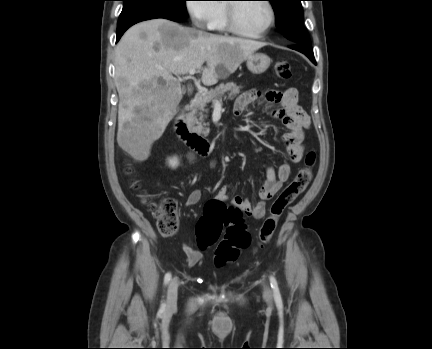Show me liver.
I'll list each match as a JSON object with an SVG mask.
<instances>
[{
    "label": "liver",
    "instance_id": "1",
    "mask_svg": "<svg viewBox=\"0 0 432 349\" xmlns=\"http://www.w3.org/2000/svg\"><path fill=\"white\" fill-rule=\"evenodd\" d=\"M265 45L184 27L166 19L132 26L115 48V85L120 99L118 145L135 160H146L182 99L180 83L173 74L200 70L206 62L201 81L211 86L220 77L217 66H222L227 75L233 73Z\"/></svg>",
    "mask_w": 432,
    "mask_h": 349
}]
</instances>
